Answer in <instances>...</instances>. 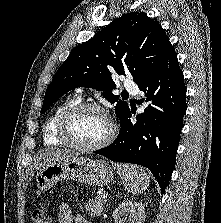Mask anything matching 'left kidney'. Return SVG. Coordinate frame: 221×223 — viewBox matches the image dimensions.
Returning a JSON list of instances; mask_svg holds the SVG:
<instances>
[{
    "label": "left kidney",
    "instance_id": "obj_1",
    "mask_svg": "<svg viewBox=\"0 0 221 223\" xmlns=\"http://www.w3.org/2000/svg\"><path fill=\"white\" fill-rule=\"evenodd\" d=\"M128 216L127 223H144L145 208L141 202L125 201L115 209L112 214L115 223H124Z\"/></svg>",
    "mask_w": 221,
    "mask_h": 223
}]
</instances>
